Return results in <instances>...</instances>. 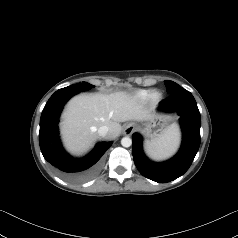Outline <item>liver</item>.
<instances>
[{
  "label": "liver",
  "instance_id": "liver-1",
  "mask_svg": "<svg viewBox=\"0 0 238 238\" xmlns=\"http://www.w3.org/2000/svg\"><path fill=\"white\" fill-rule=\"evenodd\" d=\"M152 116L151 110L126 92L78 95L68 102L62 116L63 143L69 152L82 154L99 138V127L107 126V136L113 139L121 132L120 122L147 121Z\"/></svg>",
  "mask_w": 238,
  "mask_h": 238
}]
</instances>
